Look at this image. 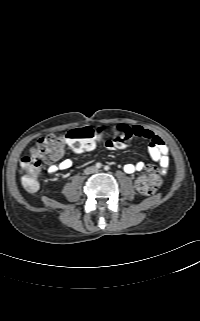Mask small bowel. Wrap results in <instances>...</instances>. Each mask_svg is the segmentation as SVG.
Segmentation results:
<instances>
[{"label": "small bowel", "mask_w": 200, "mask_h": 321, "mask_svg": "<svg viewBox=\"0 0 200 321\" xmlns=\"http://www.w3.org/2000/svg\"><path fill=\"white\" fill-rule=\"evenodd\" d=\"M132 128L135 131L136 137L149 140V147H148L149 156L153 161L159 164L161 174H165L169 166V151L166 143L163 141L161 137H159L149 129H145L138 125L132 126ZM106 146L109 149H114L117 147L112 139L107 140ZM75 151L82 152L78 150H75ZM62 155H63V151L59 156L47 162L49 164L47 169L48 173L54 174L60 170H67L72 166V160L68 158L61 159ZM57 161L59 162L56 163ZM144 168H145L144 161H138L136 163H126L123 166V169L127 174L140 172L144 170Z\"/></svg>", "instance_id": "c3829d8e"}]
</instances>
